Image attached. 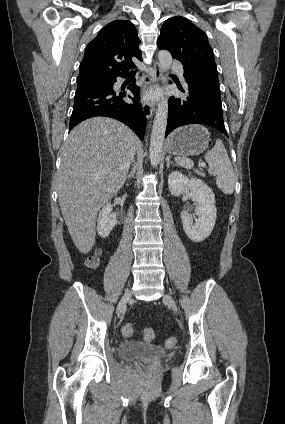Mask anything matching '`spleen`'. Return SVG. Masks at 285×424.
<instances>
[{
	"instance_id": "obj_1",
	"label": "spleen",
	"mask_w": 285,
	"mask_h": 424,
	"mask_svg": "<svg viewBox=\"0 0 285 424\" xmlns=\"http://www.w3.org/2000/svg\"><path fill=\"white\" fill-rule=\"evenodd\" d=\"M209 165L208 173L215 176L218 188L226 195H231L235 188L236 177L227 151L220 139L214 147L205 154ZM175 162L185 168H191L194 163L189 158L176 157Z\"/></svg>"
}]
</instances>
